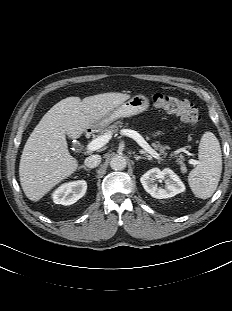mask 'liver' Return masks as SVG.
Segmentation results:
<instances>
[{"mask_svg": "<svg viewBox=\"0 0 232 311\" xmlns=\"http://www.w3.org/2000/svg\"><path fill=\"white\" fill-rule=\"evenodd\" d=\"M129 98V94L111 92L83 100L72 96L56 103L34 128L21 155L19 176L26 197L40 200L76 171L78 161L68 151L66 135L79 138Z\"/></svg>", "mask_w": 232, "mask_h": 311, "instance_id": "6515ba94", "label": "liver"}]
</instances>
